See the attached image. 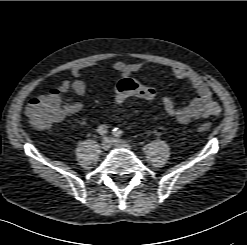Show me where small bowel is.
Returning <instances> with one entry per match:
<instances>
[{"label":"small bowel","mask_w":247,"mask_h":245,"mask_svg":"<svg viewBox=\"0 0 247 245\" xmlns=\"http://www.w3.org/2000/svg\"><path fill=\"white\" fill-rule=\"evenodd\" d=\"M145 64L146 63H126L118 61L114 63L113 69L119 73L121 77L125 78L140 71ZM96 65L97 64L94 62L75 65L70 70L73 79L64 80L58 87L49 90L45 96L61 100L62 95L67 92L83 95L86 92V84L80 78L82 71L86 68L95 67ZM172 73L176 79L188 83L194 89L196 96L184 106H176L169 96H162L161 103L168 116L175 118L182 124H186L196 119H205L220 114V105L214 99L213 93L208 84L199 75L181 67H174ZM82 107L83 105L80 102L64 105V117L80 112Z\"/></svg>","instance_id":"1"}]
</instances>
